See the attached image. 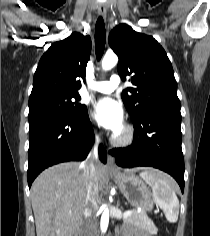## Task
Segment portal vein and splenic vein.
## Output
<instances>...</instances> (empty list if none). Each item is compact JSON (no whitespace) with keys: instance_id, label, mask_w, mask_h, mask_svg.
Returning a JSON list of instances; mask_svg holds the SVG:
<instances>
[{"instance_id":"18ae733b","label":"portal vein and splenic vein","mask_w":210,"mask_h":236,"mask_svg":"<svg viewBox=\"0 0 210 236\" xmlns=\"http://www.w3.org/2000/svg\"><path fill=\"white\" fill-rule=\"evenodd\" d=\"M131 214H132V211L131 210H127V211L124 212L123 217H128Z\"/></svg>"}]
</instances>
